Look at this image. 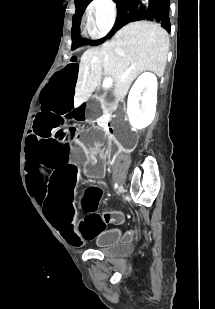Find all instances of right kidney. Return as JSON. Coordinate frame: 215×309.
<instances>
[{"mask_svg": "<svg viewBox=\"0 0 215 309\" xmlns=\"http://www.w3.org/2000/svg\"><path fill=\"white\" fill-rule=\"evenodd\" d=\"M157 78L152 72H143L135 80L129 94V100L131 102V110L136 112L135 120H132L128 110L127 114L129 120L134 128H145L150 122H152L155 116L156 102H157ZM142 94V104L140 106L139 100Z\"/></svg>", "mask_w": 215, "mask_h": 309, "instance_id": "1", "label": "right kidney"}]
</instances>
